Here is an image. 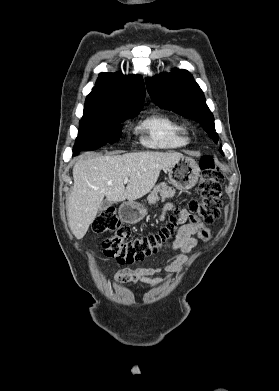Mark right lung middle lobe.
Segmentation results:
<instances>
[{"label":"right lung middle lobe","instance_id":"dd1d6c3e","mask_svg":"<svg viewBox=\"0 0 279 391\" xmlns=\"http://www.w3.org/2000/svg\"><path fill=\"white\" fill-rule=\"evenodd\" d=\"M141 109L84 113L73 154L83 150H95L106 143L113 144L121 136V123L136 116Z\"/></svg>","mask_w":279,"mask_h":391}]
</instances>
